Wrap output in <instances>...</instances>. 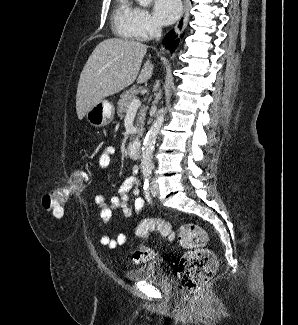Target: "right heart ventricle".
Instances as JSON below:
<instances>
[{
  "label": "right heart ventricle",
  "mask_w": 298,
  "mask_h": 325,
  "mask_svg": "<svg viewBox=\"0 0 298 325\" xmlns=\"http://www.w3.org/2000/svg\"><path fill=\"white\" fill-rule=\"evenodd\" d=\"M137 8L127 0H121L112 13V26L115 37H130L127 32L135 24Z\"/></svg>",
  "instance_id": "right-heart-ventricle-1"
}]
</instances>
